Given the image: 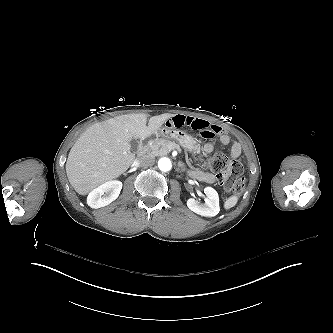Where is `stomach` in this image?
<instances>
[{"label": "stomach", "mask_w": 333, "mask_h": 333, "mask_svg": "<svg viewBox=\"0 0 333 333\" xmlns=\"http://www.w3.org/2000/svg\"><path fill=\"white\" fill-rule=\"evenodd\" d=\"M155 138L163 137V138H171L173 140L179 141L182 146L191 149L192 151H196L197 147L199 146V139L193 138L192 136L186 135L183 131H178L174 128H170L167 126H163L159 128L154 134ZM152 138H148L151 140Z\"/></svg>", "instance_id": "obj_1"}]
</instances>
